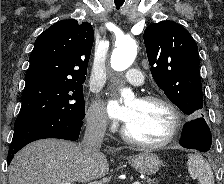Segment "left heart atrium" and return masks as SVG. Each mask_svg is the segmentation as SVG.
I'll list each match as a JSON object with an SVG mask.
<instances>
[{
  "label": "left heart atrium",
  "mask_w": 224,
  "mask_h": 184,
  "mask_svg": "<svg viewBox=\"0 0 224 184\" xmlns=\"http://www.w3.org/2000/svg\"><path fill=\"white\" fill-rule=\"evenodd\" d=\"M111 117L127 123L133 113V108L130 105H119L117 102L112 101L108 108Z\"/></svg>",
  "instance_id": "obj_1"
}]
</instances>
